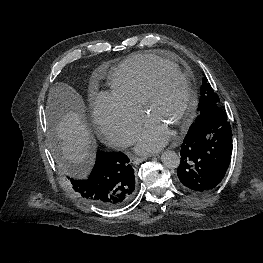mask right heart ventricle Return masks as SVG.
I'll list each match as a JSON object with an SVG mask.
<instances>
[{"label":"right heart ventricle","instance_id":"obj_1","mask_svg":"<svg viewBox=\"0 0 263 263\" xmlns=\"http://www.w3.org/2000/svg\"><path fill=\"white\" fill-rule=\"evenodd\" d=\"M163 66L177 68L172 62L153 55L130 56L115 67L109 76L112 95L130 106L140 108L151 75Z\"/></svg>","mask_w":263,"mask_h":263}]
</instances>
